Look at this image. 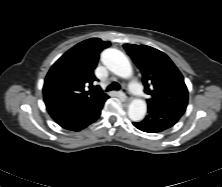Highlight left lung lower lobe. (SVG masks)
Masks as SVG:
<instances>
[{"label":"left lung lower lobe","instance_id":"obj_1","mask_svg":"<svg viewBox=\"0 0 222 187\" xmlns=\"http://www.w3.org/2000/svg\"><path fill=\"white\" fill-rule=\"evenodd\" d=\"M187 105L166 103L148 106V115L133 125L147 133H158L172 127L184 114Z\"/></svg>","mask_w":222,"mask_h":187}]
</instances>
